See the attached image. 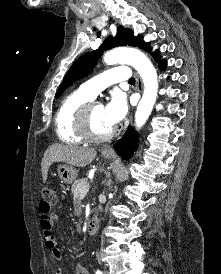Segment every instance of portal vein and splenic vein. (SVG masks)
Wrapping results in <instances>:
<instances>
[{
  "instance_id": "obj_1",
  "label": "portal vein and splenic vein",
  "mask_w": 221,
  "mask_h": 274,
  "mask_svg": "<svg viewBox=\"0 0 221 274\" xmlns=\"http://www.w3.org/2000/svg\"><path fill=\"white\" fill-rule=\"evenodd\" d=\"M88 190H89V185L80 188L79 189L80 196L84 197L87 194Z\"/></svg>"
}]
</instances>
